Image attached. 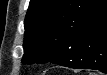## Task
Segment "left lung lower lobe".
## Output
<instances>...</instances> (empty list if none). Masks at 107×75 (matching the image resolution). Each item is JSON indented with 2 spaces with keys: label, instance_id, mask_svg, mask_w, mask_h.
<instances>
[{
  "label": "left lung lower lobe",
  "instance_id": "obj_1",
  "mask_svg": "<svg viewBox=\"0 0 107 75\" xmlns=\"http://www.w3.org/2000/svg\"><path fill=\"white\" fill-rule=\"evenodd\" d=\"M95 1L78 22L76 38L68 46L51 51L53 63L107 73V0Z\"/></svg>",
  "mask_w": 107,
  "mask_h": 75
}]
</instances>
